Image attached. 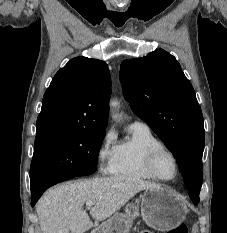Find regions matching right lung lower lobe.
I'll return each instance as SVG.
<instances>
[{"label":"right lung lower lobe","instance_id":"98d812e1","mask_svg":"<svg viewBox=\"0 0 227 233\" xmlns=\"http://www.w3.org/2000/svg\"><path fill=\"white\" fill-rule=\"evenodd\" d=\"M71 178H74V177H64V178H55V179L47 180V181H44V182L40 183L39 185L31 188V193H32L31 206L33 207L36 204L38 199L41 197V195L43 194V192L47 188H49L57 183L69 180Z\"/></svg>","mask_w":227,"mask_h":233}]
</instances>
